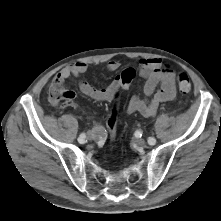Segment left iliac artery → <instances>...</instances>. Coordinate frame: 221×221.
<instances>
[{
  "label": "left iliac artery",
  "instance_id": "obj_1",
  "mask_svg": "<svg viewBox=\"0 0 221 221\" xmlns=\"http://www.w3.org/2000/svg\"><path fill=\"white\" fill-rule=\"evenodd\" d=\"M153 138H154V137H149V138H148V143H149L150 145H154V144L156 143V141H154Z\"/></svg>",
  "mask_w": 221,
  "mask_h": 221
}]
</instances>
